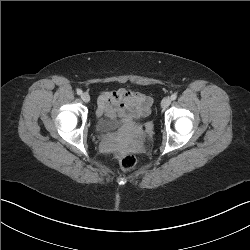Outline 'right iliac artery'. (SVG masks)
Segmentation results:
<instances>
[{"instance_id": "right-iliac-artery-1", "label": "right iliac artery", "mask_w": 250, "mask_h": 250, "mask_svg": "<svg viewBox=\"0 0 250 250\" xmlns=\"http://www.w3.org/2000/svg\"><path fill=\"white\" fill-rule=\"evenodd\" d=\"M77 94L81 95L82 94V90L81 89H77Z\"/></svg>"}]
</instances>
